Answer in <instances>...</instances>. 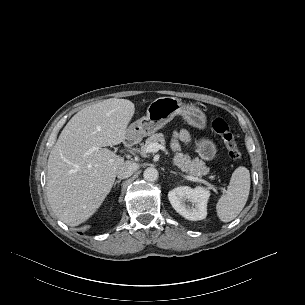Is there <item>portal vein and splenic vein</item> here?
Segmentation results:
<instances>
[{
    "instance_id": "portal-vein-and-splenic-vein-1",
    "label": "portal vein and splenic vein",
    "mask_w": 305,
    "mask_h": 305,
    "mask_svg": "<svg viewBox=\"0 0 305 305\" xmlns=\"http://www.w3.org/2000/svg\"><path fill=\"white\" fill-rule=\"evenodd\" d=\"M98 147H93L92 151L98 150ZM161 149V145L158 143H152L150 144L147 148H146V153H156ZM183 177L189 181H193V182H201L205 185H207L209 188H213L214 186L209 184L208 182H206L205 180L199 179L197 177H193V176H189V175H183ZM222 190V192H225V188H220Z\"/></svg>"
}]
</instances>
